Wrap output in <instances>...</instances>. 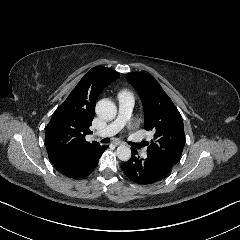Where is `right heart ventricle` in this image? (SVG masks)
Returning a JSON list of instances; mask_svg holds the SVG:
<instances>
[{
  "instance_id": "right-heart-ventricle-1",
  "label": "right heart ventricle",
  "mask_w": 240,
  "mask_h": 240,
  "mask_svg": "<svg viewBox=\"0 0 240 240\" xmlns=\"http://www.w3.org/2000/svg\"><path fill=\"white\" fill-rule=\"evenodd\" d=\"M120 97L122 98V97H128V98H131V95H130V93H128V92H122L121 93V95H120Z\"/></svg>"
}]
</instances>
